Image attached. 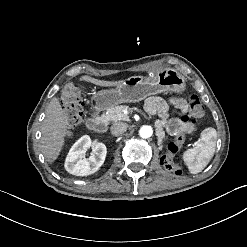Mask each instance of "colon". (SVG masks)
<instances>
[{
  "mask_svg": "<svg viewBox=\"0 0 247 247\" xmlns=\"http://www.w3.org/2000/svg\"><path fill=\"white\" fill-rule=\"evenodd\" d=\"M62 102V109L70 127L79 125L83 119L82 111V95L77 87L74 85L66 86L60 96ZM190 115H184L180 121L184 124L183 128L175 134V139L170 142L167 148V155L161 160V164L165 170L174 174H182V163L175 159L178 154L182 142L186 139L187 133L194 130L192 124L203 115V105L196 95H188Z\"/></svg>",
  "mask_w": 247,
  "mask_h": 247,
  "instance_id": "colon-1",
  "label": "colon"
}]
</instances>
